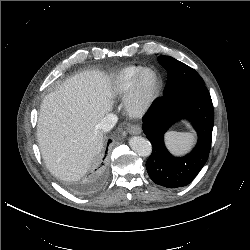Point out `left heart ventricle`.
Returning a JSON list of instances; mask_svg holds the SVG:
<instances>
[{"mask_svg":"<svg viewBox=\"0 0 250 250\" xmlns=\"http://www.w3.org/2000/svg\"><path fill=\"white\" fill-rule=\"evenodd\" d=\"M154 83V77L152 75V73H147L145 74L143 80H142V84H141V92L143 94H146L150 91V89L152 88Z\"/></svg>","mask_w":250,"mask_h":250,"instance_id":"b2bd125f","label":"left heart ventricle"}]
</instances>
